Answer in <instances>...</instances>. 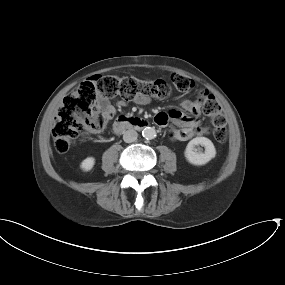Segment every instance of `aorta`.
Listing matches in <instances>:
<instances>
[{"mask_svg":"<svg viewBox=\"0 0 285 285\" xmlns=\"http://www.w3.org/2000/svg\"><path fill=\"white\" fill-rule=\"evenodd\" d=\"M142 135L147 140L154 139L156 137V130L153 127H145L142 131Z\"/></svg>","mask_w":285,"mask_h":285,"instance_id":"obj_1","label":"aorta"}]
</instances>
